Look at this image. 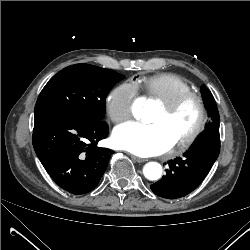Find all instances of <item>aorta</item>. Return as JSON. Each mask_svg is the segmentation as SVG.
I'll return each mask as SVG.
<instances>
[{"mask_svg": "<svg viewBox=\"0 0 250 250\" xmlns=\"http://www.w3.org/2000/svg\"><path fill=\"white\" fill-rule=\"evenodd\" d=\"M144 116L145 119H150L149 111L147 109L144 110ZM143 173L149 180H158L162 175V167L157 162H149L144 166Z\"/></svg>", "mask_w": 250, "mask_h": 250, "instance_id": "aorta-1", "label": "aorta"}]
</instances>
